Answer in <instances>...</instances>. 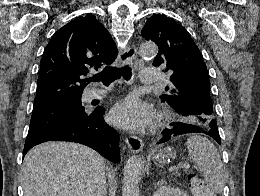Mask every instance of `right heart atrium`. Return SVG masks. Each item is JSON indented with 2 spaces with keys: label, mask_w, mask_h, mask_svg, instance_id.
<instances>
[{
  "label": "right heart atrium",
  "mask_w": 260,
  "mask_h": 196,
  "mask_svg": "<svg viewBox=\"0 0 260 196\" xmlns=\"http://www.w3.org/2000/svg\"><path fill=\"white\" fill-rule=\"evenodd\" d=\"M119 163H128V162H119Z\"/></svg>",
  "instance_id": "d8ad5b80"
}]
</instances>
